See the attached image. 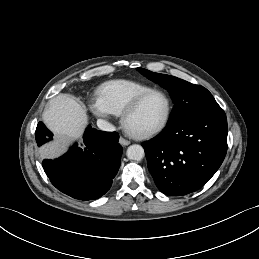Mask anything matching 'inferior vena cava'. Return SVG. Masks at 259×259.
Returning <instances> with one entry per match:
<instances>
[{
    "label": "inferior vena cava",
    "mask_w": 259,
    "mask_h": 259,
    "mask_svg": "<svg viewBox=\"0 0 259 259\" xmlns=\"http://www.w3.org/2000/svg\"><path fill=\"white\" fill-rule=\"evenodd\" d=\"M97 126L102 131H108V132L115 131V127L111 123L103 119L97 120Z\"/></svg>",
    "instance_id": "1"
}]
</instances>
